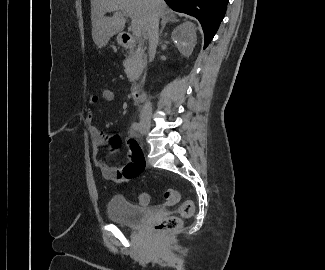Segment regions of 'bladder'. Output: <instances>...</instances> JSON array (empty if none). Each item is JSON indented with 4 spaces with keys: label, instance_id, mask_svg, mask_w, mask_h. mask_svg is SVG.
Returning <instances> with one entry per match:
<instances>
[{
    "label": "bladder",
    "instance_id": "obj_1",
    "mask_svg": "<svg viewBox=\"0 0 325 270\" xmlns=\"http://www.w3.org/2000/svg\"><path fill=\"white\" fill-rule=\"evenodd\" d=\"M108 219L114 223L137 228L151 215L148 208L140 207L121 195H113L107 204Z\"/></svg>",
    "mask_w": 325,
    "mask_h": 270
}]
</instances>
